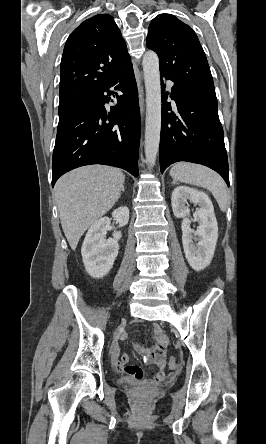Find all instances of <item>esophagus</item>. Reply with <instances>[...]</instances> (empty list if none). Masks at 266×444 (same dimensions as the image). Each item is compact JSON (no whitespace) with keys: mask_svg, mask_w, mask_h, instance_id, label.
<instances>
[{"mask_svg":"<svg viewBox=\"0 0 266 444\" xmlns=\"http://www.w3.org/2000/svg\"><path fill=\"white\" fill-rule=\"evenodd\" d=\"M139 105H140V112H141V116H142L143 112H144V97H143L142 89H140V91H139Z\"/></svg>","mask_w":266,"mask_h":444,"instance_id":"1","label":"esophagus"}]
</instances>
